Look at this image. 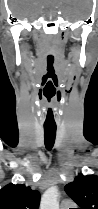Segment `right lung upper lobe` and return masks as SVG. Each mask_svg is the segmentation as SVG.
I'll use <instances>...</instances> for the list:
<instances>
[{
	"instance_id": "right-lung-upper-lobe-1",
	"label": "right lung upper lobe",
	"mask_w": 98,
	"mask_h": 209,
	"mask_svg": "<svg viewBox=\"0 0 98 209\" xmlns=\"http://www.w3.org/2000/svg\"><path fill=\"white\" fill-rule=\"evenodd\" d=\"M40 193L25 185L8 184L0 190V209H38Z\"/></svg>"
}]
</instances>
